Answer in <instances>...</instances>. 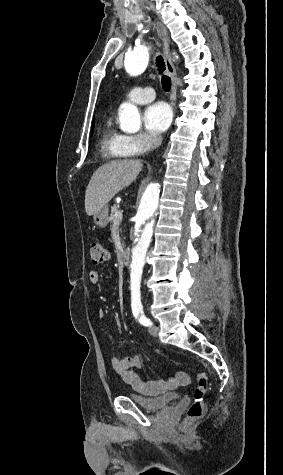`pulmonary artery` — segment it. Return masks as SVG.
I'll return each instance as SVG.
<instances>
[{"label": "pulmonary artery", "instance_id": "e3ab8cb5", "mask_svg": "<svg viewBox=\"0 0 283 475\" xmlns=\"http://www.w3.org/2000/svg\"><path fill=\"white\" fill-rule=\"evenodd\" d=\"M156 98V93L150 87H131L127 89L126 99L133 103H147Z\"/></svg>", "mask_w": 283, "mask_h": 475}]
</instances>
